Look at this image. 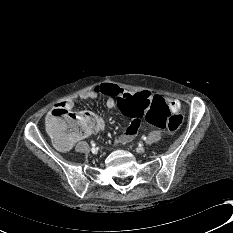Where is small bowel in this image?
<instances>
[{
  "instance_id": "c3829d8e",
  "label": "small bowel",
  "mask_w": 233,
  "mask_h": 233,
  "mask_svg": "<svg viewBox=\"0 0 233 233\" xmlns=\"http://www.w3.org/2000/svg\"><path fill=\"white\" fill-rule=\"evenodd\" d=\"M125 92L127 91H125L124 89H122L116 84L105 83V84H102L94 88L93 90L83 93L81 95V98L88 100V99L97 98L100 95H104L106 96V106L108 108H115L116 107L115 99L119 98ZM163 100L166 103V105H170L173 102H177L179 104L178 101L173 100L171 98H163ZM63 105L72 109L74 107V102L71 99H67L65 100ZM130 118L131 119H130L129 125L126 128V130L116 138L117 143L126 144L132 141L137 136L139 129H140V125H141L140 117L139 118L130 117ZM79 139L81 138H67V139L55 138V144L59 150L67 151Z\"/></svg>"
}]
</instances>
